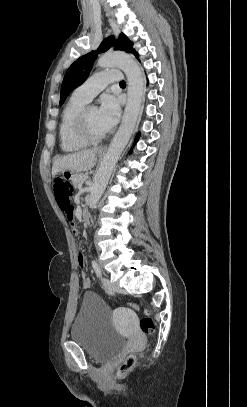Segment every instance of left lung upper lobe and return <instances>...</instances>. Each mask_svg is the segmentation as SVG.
Listing matches in <instances>:
<instances>
[{"label": "left lung upper lobe", "mask_w": 247, "mask_h": 407, "mask_svg": "<svg viewBox=\"0 0 247 407\" xmlns=\"http://www.w3.org/2000/svg\"><path fill=\"white\" fill-rule=\"evenodd\" d=\"M112 46H114L115 50H122L127 53H133L137 58L139 56L138 53L132 48L133 43L123 33L116 41L113 37L105 39L101 43L97 51H92L80 57L67 70L61 86L60 104L64 103L71 91H73L76 87L81 85L86 80L92 69L94 61L97 58L98 53L105 52Z\"/></svg>", "instance_id": "obj_1"}]
</instances>
